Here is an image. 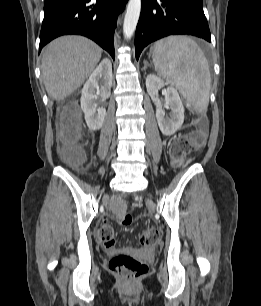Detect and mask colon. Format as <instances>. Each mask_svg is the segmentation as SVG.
Segmentation results:
<instances>
[{"instance_id": "5ec220e1", "label": "colon", "mask_w": 261, "mask_h": 306, "mask_svg": "<svg viewBox=\"0 0 261 306\" xmlns=\"http://www.w3.org/2000/svg\"><path fill=\"white\" fill-rule=\"evenodd\" d=\"M60 154L70 165L78 166L84 160V153L79 146L81 137V120L79 112L75 108L64 109L59 116ZM204 143V132L200 128L197 131L180 135L175 138L170 146V155L175 165H182L189 155L200 148ZM113 212L117 221L128 226L132 223V215L124 202L120 199L112 203ZM99 237L108 250L116 246L115 233L112 227L103 224L99 228ZM159 232L156 228L145 229L140 236V244L144 247H151L156 244ZM109 269L116 274L123 282L132 283L140 279L147 272V265L136 257L127 253L114 255L109 262Z\"/></svg>"}]
</instances>
